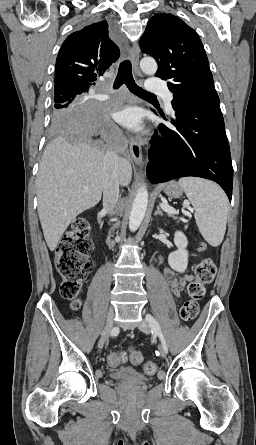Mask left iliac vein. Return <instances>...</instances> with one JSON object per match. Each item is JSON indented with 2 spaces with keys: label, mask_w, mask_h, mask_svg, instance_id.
I'll return each mask as SVG.
<instances>
[{
  "label": "left iliac vein",
  "mask_w": 256,
  "mask_h": 445,
  "mask_svg": "<svg viewBox=\"0 0 256 445\" xmlns=\"http://www.w3.org/2000/svg\"><path fill=\"white\" fill-rule=\"evenodd\" d=\"M138 328L143 332V333H150V326L149 324L143 320L142 322L139 323ZM160 354L162 356V358H166L167 353L163 350V348L160 349Z\"/></svg>",
  "instance_id": "4c4485c4"
}]
</instances>
